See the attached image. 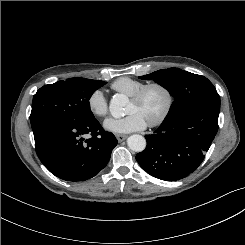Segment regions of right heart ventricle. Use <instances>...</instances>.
<instances>
[{
	"instance_id": "e07e8e85",
	"label": "right heart ventricle",
	"mask_w": 245,
	"mask_h": 245,
	"mask_svg": "<svg viewBox=\"0 0 245 245\" xmlns=\"http://www.w3.org/2000/svg\"><path fill=\"white\" fill-rule=\"evenodd\" d=\"M144 85L145 83L140 80L130 77H120L111 84V88L119 93L132 96Z\"/></svg>"
}]
</instances>
